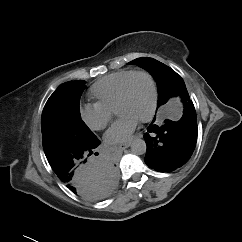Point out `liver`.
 <instances>
[{
	"instance_id": "liver-1",
	"label": "liver",
	"mask_w": 242,
	"mask_h": 242,
	"mask_svg": "<svg viewBox=\"0 0 242 242\" xmlns=\"http://www.w3.org/2000/svg\"><path fill=\"white\" fill-rule=\"evenodd\" d=\"M102 176H103V174L101 173L100 177L97 178V180L95 182L85 186L81 192L82 194H80V195H82L88 199H98L100 197L107 196L108 194H104V191L107 188L108 182L106 180H104V178Z\"/></svg>"
}]
</instances>
